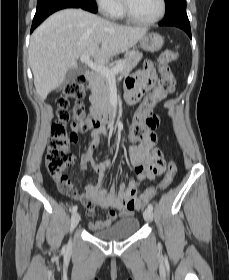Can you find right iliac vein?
<instances>
[{"instance_id": "right-iliac-vein-1", "label": "right iliac vein", "mask_w": 229, "mask_h": 280, "mask_svg": "<svg viewBox=\"0 0 229 280\" xmlns=\"http://www.w3.org/2000/svg\"><path fill=\"white\" fill-rule=\"evenodd\" d=\"M79 221H80V214L78 212H75L71 218V224H70L71 231L74 230V228L78 225Z\"/></svg>"}]
</instances>
